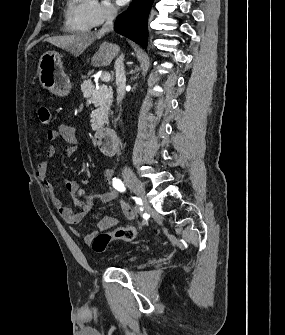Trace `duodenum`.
<instances>
[{
	"mask_svg": "<svg viewBox=\"0 0 285 335\" xmlns=\"http://www.w3.org/2000/svg\"><path fill=\"white\" fill-rule=\"evenodd\" d=\"M95 140L99 149L108 156H113L118 149V137L113 128L102 127L96 130Z\"/></svg>",
	"mask_w": 285,
	"mask_h": 335,
	"instance_id": "duodenum-1",
	"label": "duodenum"
}]
</instances>
